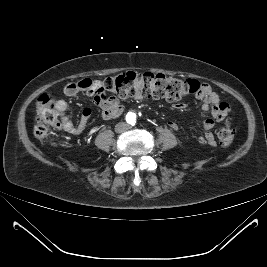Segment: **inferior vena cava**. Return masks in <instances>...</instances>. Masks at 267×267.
I'll return each instance as SVG.
<instances>
[{
  "label": "inferior vena cava",
  "mask_w": 267,
  "mask_h": 267,
  "mask_svg": "<svg viewBox=\"0 0 267 267\" xmlns=\"http://www.w3.org/2000/svg\"><path fill=\"white\" fill-rule=\"evenodd\" d=\"M126 130H128V124L125 122H120L115 126V131L117 133H122L125 132Z\"/></svg>",
  "instance_id": "inferior-vena-cava-1"
}]
</instances>
